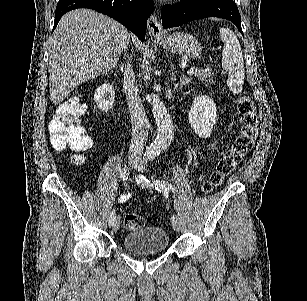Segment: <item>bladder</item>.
I'll return each instance as SVG.
<instances>
[{"label":"bladder","instance_id":"bladder-1","mask_svg":"<svg viewBox=\"0 0 307 301\" xmlns=\"http://www.w3.org/2000/svg\"><path fill=\"white\" fill-rule=\"evenodd\" d=\"M121 243L126 250L155 253L167 250L168 237L165 230L148 227L129 233Z\"/></svg>","mask_w":307,"mask_h":301}]
</instances>
